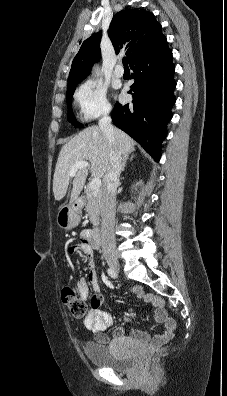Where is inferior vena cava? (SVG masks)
Masks as SVG:
<instances>
[{
  "mask_svg": "<svg viewBox=\"0 0 227 396\" xmlns=\"http://www.w3.org/2000/svg\"><path fill=\"white\" fill-rule=\"evenodd\" d=\"M110 110H107L99 120V128L106 136L110 145H115V130L111 124ZM122 156L113 152L110 158V166L103 179V191L101 195V244L104 256L116 255V241L114 234L116 190L119 185V177L122 168Z\"/></svg>",
  "mask_w": 227,
  "mask_h": 396,
  "instance_id": "602c4592",
  "label": "inferior vena cava"
}]
</instances>
